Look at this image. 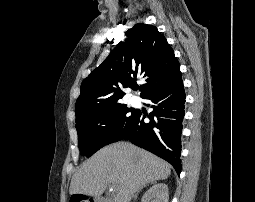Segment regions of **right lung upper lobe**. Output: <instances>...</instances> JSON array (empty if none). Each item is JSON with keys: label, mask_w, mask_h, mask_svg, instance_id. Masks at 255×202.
I'll use <instances>...</instances> for the list:
<instances>
[{"label": "right lung upper lobe", "mask_w": 255, "mask_h": 202, "mask_svg": "<svg viewBox=\"0 0 255 202\" xmlns=\"http://www.w3.org/2000/svg\"><path fill=\"white\" fill-rule=\"evenodd\" d=\"M104 62L81 84L76 119L113 104L125 95L121 90L144 79L140 96L169 86L181 78L180 65L166 38L155 26L136 24Z\"/></svg>", "instance_id": "obj_1"}]
</instances>
